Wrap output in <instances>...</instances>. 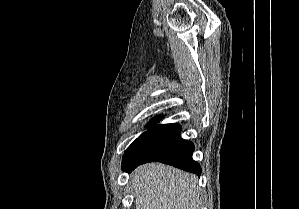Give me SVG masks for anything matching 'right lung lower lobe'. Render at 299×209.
Instances as JSON below:
<instances>
[{
    "mask_svg": "<svg viewBox=\"0 0 299 209\" xmlns=\"http://www.w3.org/2000/svg\"><path fill=\"white\" fill-rule=\"evenodd\" d=\"M163 116H157L148 124H155ZM179 124H161L141 134L126 150L122 170L131 172L140 164L162 162L182 170L201 174L200 165L193 160L194 144L180 137Z\"/></svg>",
    "mask_w": 299,
    "mask_h": 209,
    "instance_id": "obj_1",
    "label": "right lung lower lobe"
}]
</instances>
